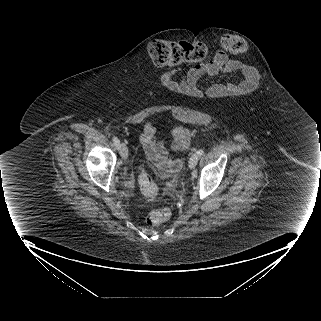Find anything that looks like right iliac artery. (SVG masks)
I'll list each match as a JSON object with an SVG mask.
<instances>
[{"mask_svg": "<svg viewBox=\"0 0 321 321\" xmlns=\"http://www.w3.org/2000/svg\"><path fill=\"white\" fill-rule=\"evenodd\" d=\"M113 142H114L115 146L119 149V147H120V141H119V139L114 136V137H113Z\"/></svg>", "mask_w": 321, "mask_h": 321, "instance_id": "1", "label": "right iliac artery"}]
</instances>
